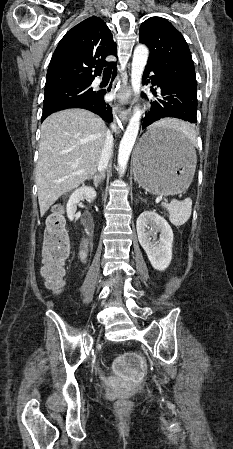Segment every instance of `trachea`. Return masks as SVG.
<instances>
[{"mask_svg":"<svg viewBox=\"0 0 233 449\" xmlns=\"http://www.w3.org/2000/svg\"><path fill=\"white\" fill-rule=\"evenodd\" d=\"M112 70L110 68H105L103 74H111Z\"/></svg>","mask_w":233,"mask_h":449,"instance_id":"1","label":"trachea"}]
</instances>
